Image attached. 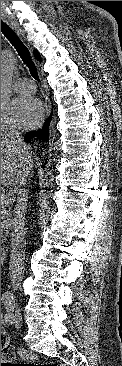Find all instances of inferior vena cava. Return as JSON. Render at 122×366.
Instances as JSON below:
<instances>
[{
  "label": "inferior vena cava",
  "mask_w": 122,
  "mask_h": 366,
  "mask_svg": "<svg viewBox=\"0 0 122 366\" xmlns=\"http://www.w3.org/2000/svg\"><path fill=\"white\" fill-rule=\"evenodd\" d=\"M5 137L7 143L15 146L19 151L22 152L24 160L29 158L30 148L26 145L20 133L17 130L5 131ZM28 178L23 177L20 183L15 186L14 192L17 195L16 206L13 214V218L10 220L11 229V254H10V278L12 281L13 289L17 290L20 285L23 272V260L25 257V234L27 229L25 227V214L28 200Z\"/></svg>",
  "instance_id": "obj_1"
}]
</instances>
